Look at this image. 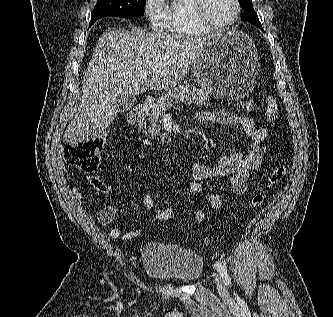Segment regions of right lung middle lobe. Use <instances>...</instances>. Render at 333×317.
Masks as SVG:
<instances>
[{
	"label": "right lung middle lobe",
	"mask_w": 333,
	"mask_h": 317,
	"mask_svg": "<svg viewBox=\"0 0 333 317\" xmlns=\"http://www.w3.org/2000/svg\"><path fill=\"white\" fill-rule=\"evenodd\" d=\"M146 0H97L90 25L106 16L129 17L143 14Z\"/></svg>",
	"instance_id": "right-lung-middle-lobe-1"
}]
</instances>
